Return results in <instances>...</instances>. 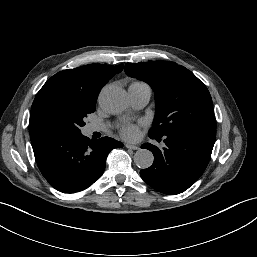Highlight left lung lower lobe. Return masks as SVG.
I'll list each match as a JSON object with an SVG mask.
<instances>
[{"label":"left lung lower lobe","instance_id":"1","mask_svg":"<svg viewBox=\"0 0 257 257\" xmlns=\"http://www.w3.org/2000/svg\"><path fill=\"white\" fill-rule=\"evenodd\" d=\"M215 139V127L205 126L184 128L166 135L163 150L143 144L141 148L152 151L155 159L152 166L140 171L142 179L165 194L184 192L203 174Z\"/></svg>","mask_w":257,"mask_h":257}]
</instances>
